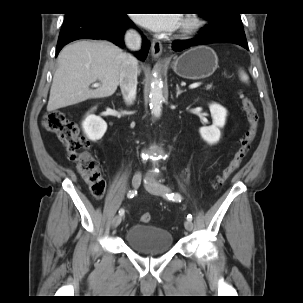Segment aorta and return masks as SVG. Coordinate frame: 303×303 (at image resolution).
<instances>
[{"instance_id": "aorta-1", "label": "aorta", "mask_w": 303, "mask_h": 303, "mask_svg": "<svg viewBox=\"0 0 303 303\" xmlns=\"http://www.w3.org/2000/svg\"><path fill=\"white\" fill-rule=\"evenodd\" d=\"M163 100H164L163 82H162L161 77H159L155 73L154 78L151 81V88H150V95H149L151 113L155 117H160V115H161V108H162Z\"/></svg>"}]
</instances>
